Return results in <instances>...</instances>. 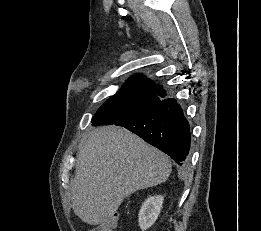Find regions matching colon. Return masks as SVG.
<instances>
[{
    "instance_id": "1",
    "label": "colon",
    "mask_w": 261,
    "mask_h": 231,
    "mask_svg": "<svg viewBox=\"0 0 261 231\" xmlns=\"http://www.w3.org/2000/svg\"><path fill=\"white\" fill-rule=\"evenodd\" d=\"M118 213L113 211L107 219L92 227L89 231H113Z\"/></svg>"
}]
</instances>
